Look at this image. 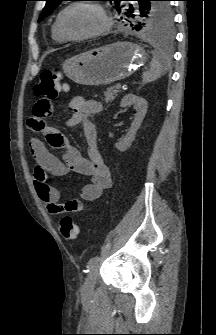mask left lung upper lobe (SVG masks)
Instances as JSON below:
<instances>
[{"label":"left lung upper lobe","instance_id":"obj_1","mask_svg":"<svg viewBox=\"0 0 216 335\" xmlns=\"http://www.w3.org/2000/svg\"><path fill=\"white\" fill-rule=\"evenodd\" d=\"M46 5L39 17L38 22L50 15L54 9L65 0H45ZM115 4L122 19L131 26L132 21H137L136 30L149 33L171 36L173 30V15L168 4L169 0H107ZM129 1H136L138 4L133 6ZM124 16H127L125 18ZM126 24V25H127Z\"/></svg>","mask_w":216,"mask_h":335}]
</instances>
